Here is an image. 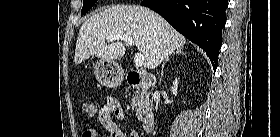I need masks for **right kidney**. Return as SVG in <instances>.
Instances as JSON below:
<instances>
[{"label": "right kidney", "mask_w": 280, "mask_h": 137, "mask_svg": "<svg viewBox=\"0 0 280 137\" xmlns=\"http://www.w3.org/2000/svg\"><path fill=\"white\" fill-rule=\"evenodd\" d=\"M177 89H178V79H175L172 86V93L175 96L177 95Z\"/></svg>", "instance_id": "ca27d5eb"}]
</instances>
